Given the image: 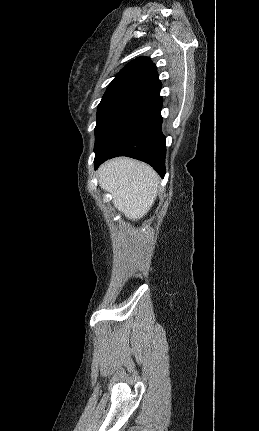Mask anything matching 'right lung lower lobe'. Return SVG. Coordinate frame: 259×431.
Returning <instances> with one entry per match:
<instances>
[{"instance_id": "1", "label": "right lung lower lobe", "mask_w": 259, "mask_h": 431, "mask_svg": "<svg viewBox=\"0 0 259 431\" xmlns=\"http://www.w3.org/2000/svg\"><path fill=\"white\" fill-rule=\"evenodd\" d=\"M160 90L134 105L94 148L95 169L107 159L128 156L151 165L165 175V136L162 133Z\"/></svg>"}]
</instances>
